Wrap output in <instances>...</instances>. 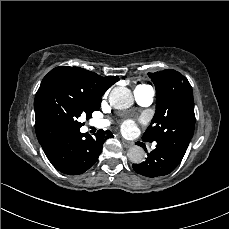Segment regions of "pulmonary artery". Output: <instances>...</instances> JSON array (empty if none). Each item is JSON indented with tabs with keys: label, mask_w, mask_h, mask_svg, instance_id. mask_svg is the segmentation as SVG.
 Wrapping results in <instances>:
<instances>
[{
	"label": "pulmonary artery",
	"mask_w": 229,
	"mask_h": 229,
	"mask_svg": "<svg viewBox=\"0 0 229 229\" xmlns=\"http://www.w3.org/2000/svg\"><path fill=\"white\" fill-rule=\"evenodd\" d=\"M134 98L141 106H149L154 100V90L149 85H140L134 89ZM92 125L97 128L106 127L107 123L104 121H92Z\"/></svg>",
	"instance_id": "e3ab8cb5"
}]
</instances>
